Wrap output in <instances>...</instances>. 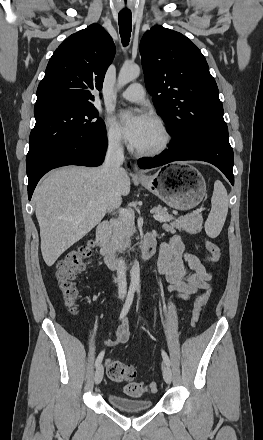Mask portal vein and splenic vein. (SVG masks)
I'll use <instances>...</instances> for the list:
<instances>
[{
    "instance_id": "portal-vein-and-splenic-vein-1",
    "label": "portal vein and splenic vein",
    "mask_w": 263,
    "mask_h": 440,
    "mask_svg": "<svg viewBox=\"0 0 263 440\" xmlns=\"http://www.w3.org/2000/svg\"><path fill=\"white\" fill-rule=\"evenodd\" d=\"M119 214L122 218H126V219H132L133 218V213L132 211L128 210V209H120L119 210ZM153 218L159 222H168L171 221L172 218L168 217V216H162L159 214H154Z\"/></svg>"
}]
</instances>
